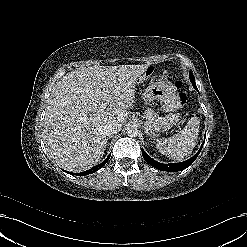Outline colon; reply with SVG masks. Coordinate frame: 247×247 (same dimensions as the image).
I'll return each mask as SVG.
<instances>
[{"mask_svg":"<svg viewBox=\"0 0 247 247\" xmlns=\"http://www.w3.org/2000/svg\"><path fill=\"white\" fill-rule=\"evenodd\" d=\"M175 86L178 90L182 88V83L180 81H177L175 83ZM187 97L186 94L183 91H180L177 96V102L180 106H183L186 103Z\"/></svg>","mask_w":247,"mask_h":247,"instance_id":"colon-1","label":"colon"}]
</instances>
